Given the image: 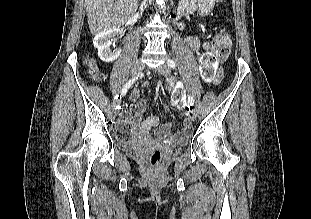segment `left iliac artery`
Segmentation results:
<instances>
[{
	"mask_svg": "<svg viewBox=\"0 0 311 219\" xmlns=\"http://www.w3.org/2000/svg\"><path fill=\"white\" fill-rule=\"evenodd\" d=\"M168 66L171 68V69H175V67H176V64H175V62L173 61V60H171V59H168ZM188 104H189V106H193V104H194V99H193V97L190 95V96H188Z\"/></svg>",
	"mask_w": 311,
	"mask_h": 219,
	"instance_id": "44dca946",
	"label": "left iliac artery"
}]
</instances>
